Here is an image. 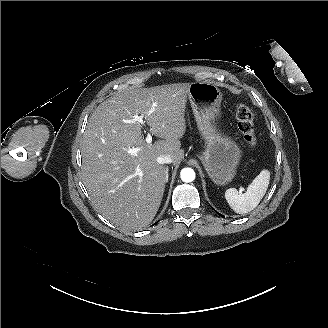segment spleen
Here are the masks:
<instances>
[{"instance_id": "3e777b00", "label": "spleen", "mask_w": 328, "mask_h": 328, "mask_svg": "<svg viewBox=\"0 0 328 328\" xmlns=\"http://www.w3.org/2000/svg\"><path fill=\"white\" fill-rule=\"evenodd\" d=\"M269 181L270 172L264 169L252 181L244 194H240L235 188H229L225 192V199L236 213H248L258 206L266 194Z\"/></svg>"}]
</instances>
